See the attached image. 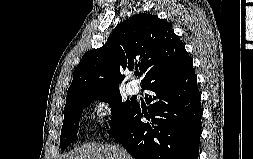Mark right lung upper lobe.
I'll return each mask as SVG.
<instances>
[{
	"mask_svg": "<svg viewBox=\"0 0 253 159\" xmlns=\"http://www.w3.org/2000/svg\"><path fill=\"white\" fill-rule=\"evenodd\" d=\"M193 65L170 24L139 13L122 22L100 49L86 52L73 74L66 104L84 96L119 90L123 70L138 68L142 87L176 76Z\"/></svg>",
	"mask_w": 253,
	"mask_h": 159,
	"instance_id": "obj_1",
	"label": "right lung upper lobe"
}]
</instances>
